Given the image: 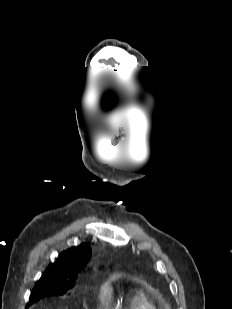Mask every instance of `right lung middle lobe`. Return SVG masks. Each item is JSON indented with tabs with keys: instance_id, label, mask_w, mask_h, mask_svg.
<instances>
[{
	"instance_id": "1",
	"label": "right lung middle lobe",
	"mask_w": 232,
	"mask_h": 309,
	"mask_svg": "<svg viewBox=\"0 0 232 309\" xmlns=\"http://www.w3.org/2000/svg\"><path fill=\"white\" fill-rule=\"evenodd\" d=\"M72 281H38L32 290L27 307L51 295H63L71 288Z\"/></svg>"
}]
</instances>
